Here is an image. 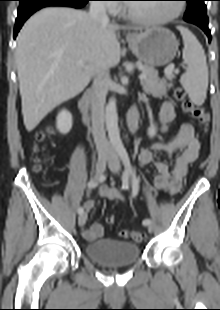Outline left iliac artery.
I'll return each instance as SVG.
<instances>
[{
	"instance_id": "44dca946",
	"label": "left iliac artery",
	"mask_w": 220,
	"mask_h": 310,
	"mask_svg": "<svg viewBox=\"0 0 220 310\" xmlns=\"http://www.w3.org/2000/svg\"><path fill=\"white\" fill-rule=\"evenodd\" d=\"M118 154L125 166V172L126 174H129L131 175V179H132V197H136L137 194H138V191H139V179L137 178L136 176V173L135 171L133 170L131 164H130V160H129V157H128V154H127V151L126 149L121 146L118 148ZM151 222L150 219H144L143 220V225H147Z\"/></svg>"
}]
</instances>
